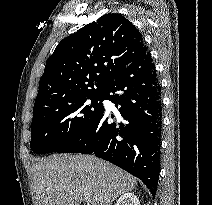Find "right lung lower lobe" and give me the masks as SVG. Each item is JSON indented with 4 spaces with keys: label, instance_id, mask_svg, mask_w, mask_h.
Wrapping results in <instances>:
<instances>
[{
    "label": "right lung lower lobe",
    "instance_id": "98d812e1",
    "mask_svg": "<svg viewBox=\"0 0 212 205\" xmlns=\"http://www.w3.org/2000/svg\"><path fill=\"white\" fill-rule=\"evenodd\" d=\"M102 95L119 107L122 121L108 122L110 115L103 109L57 152L94 153L141 179L154 197L160 171L162 100L150 52L118 73Z\"/></svg>",
    "mask_w": 212,
    "mask_h": 205
}]
</instances>
